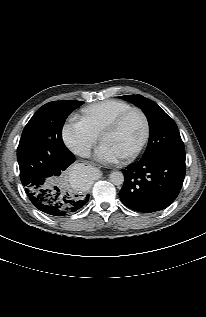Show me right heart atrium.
I'll return each mask as SVG.
<instances>
[{
  "label": "right heart atrium",
  "instance_id": "right-heart-atrium-1",
  "mask_svg": "<svg viewBox=\"0 0 206 317\" xmlns=\"http://www.w3.org/2000/svg\"><path fill=\"white\" fill-rule=\"evenodd\" d=\"M61 133L66 146L79 156H87L98 141L81 118H68Z\"/></svg>",
  "mask_w": 206,
  "mask_h": 317
}]
</instances>
